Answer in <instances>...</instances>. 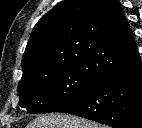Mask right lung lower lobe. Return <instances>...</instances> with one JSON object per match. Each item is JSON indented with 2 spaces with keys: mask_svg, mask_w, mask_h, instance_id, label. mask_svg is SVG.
<instances>
[{
  "mask_svg": "<svg viewBox=\"0 0 142 128\" xmlns=\"http://www.w3.org/2000/svg\"><path fill=\"white\" fill-rule=\"evenodd\" d=\"M63 112L115 128H142V64L99 79L82 94L59 107Z\"/></svg>",
  "mask_w": 142,
  "mask_h": 128,
  "instance_id": "1",
  "label": "right lung lower lobe"
}]
</instances>
